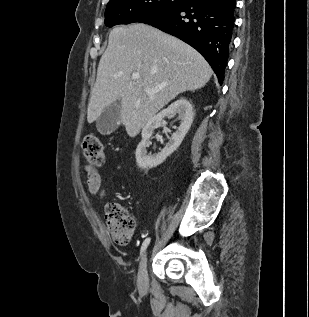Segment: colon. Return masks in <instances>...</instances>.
Wrapping results in <instances>:
<instances>
[{
  "mask_svg": "<svg viewBox=\"0 0 309 317\" xmlns=\"http://www.w3.org/2000/svg\"><path fill=\"white\" fill-rule=\"evenodd\" d=\"M83 152L89 163L100 166L105 159L104 146L94 134L83 139ZM106 229L112 240L120 245L127 244L135 230V221L125 207L111 203L105 210Z\"/></svg>",
  "mask_w": 309,
  "mask_h": 317,
  "instance_id": "obj_1",
  "label": "colon"
}]
</instances>
